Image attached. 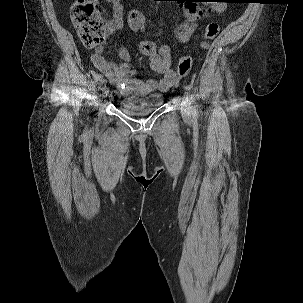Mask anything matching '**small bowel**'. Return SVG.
Listing matches in <instances>:
<instances>
[{
	"instance_id": "1",
	"label": "small bowel",
	"mask_w": 303,
	"mask_h": 303,
	"mask_svg": "<svg viewBox=\"0 0 303 303\" xmlns=\"http://www.w3.org/2000/svg\"><path fill=\"white\" fill-rule=\"evenodd\" d=\"M112 5V17L109 22L111 31H116L124 23V4L122 0H105ZM182 8L186 21L177 30L180 42H186L193 34L198 20L224 12L226 6L222 0H211L207 9H201L193 1L183 0ZM128 23L133 32H142L145 27V17L138 7H133L128 14ZM140 52L148 57L150 69L161 76L160 80L140 78L132 66V58L125 48H118L120 63L115 64L105 59L102 48L92 56L94 66L101 71L109 81L117 86L122 94L136 91L147 94L154 91H167L176 81L177 76L171 69L169 49L167 46H158L154 41L143 40L140 43Z\"/></svg>"
}]
</instances>
